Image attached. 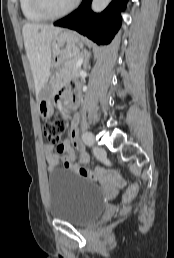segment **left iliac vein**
Returning a JSON list of instances; mask_svg holds the SVG:
<instances>
[{
  "instance_id": "obj_1",
  "label": "left iliac vein",
  "mask_w": 174,
  "mask_h": 258,
  "mask_svg": "<svg viewBox=\"0 0 174 258\" xmlns=\"http://www.w3.org/2000/svg\"><path fill=\"white\" fill-rule=\"evenodd\" d=\"M93 152L97 158H104L106 156V151L102 147H94Z\"/></svg>"
}]
</instances>
